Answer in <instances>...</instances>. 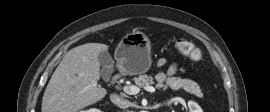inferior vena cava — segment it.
<instances>
[{
  "label": "inferior vena cava",
  "instance_id": "obj_1",
  "mask_svg": "<svg viewBox=\"0 0 270 112\" xmlns=\"http://www.w3.org/2000/svg\"><path fill=\"white\" fill-rule=\"evenodd\" d=\"M110 100L116 104L117 106H119L120 108H126L130 105V102L122 97H120L117 94H112L110 96Z\"/></svg>",
  "mask_w": 270,
  "mask_h": 112
}]
</instances>
